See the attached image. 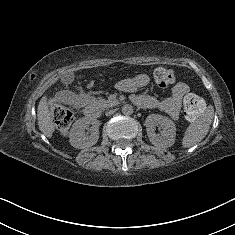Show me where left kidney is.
Returning a JSON list of instances; mask_svg holds the SVG:
<instances>
[{"instance_id":"left-kidney-1","label":"left kidney","mask_w":235,"mask_h":235,"mask_svg":"<svg viewBox=\"0 0 235 235\" xmlns=\"http://www.w3.org/2000/svg\"><path fill=\"white\" fill-rule=\"evenodd\" d=\"M149 141L158 148H169L175 143L176 126L168 117L159 114H150L144 123ZM156 126L162 128L160 134H156Z\"/></svg>"}]
</instances>
